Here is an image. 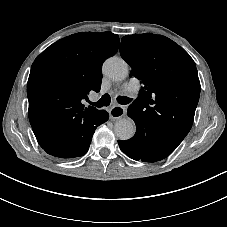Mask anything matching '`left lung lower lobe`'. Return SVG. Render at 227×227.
<instances>
[{
	"label": "left lung lower lobe",
	"mask_w": 227,
	"mask_h": 227,
	"mask_svg": "<svg viewBox=\"0 0 227 227\" xmlns=\"http://www.w3.org/2000/svg\"><path fill=\"white\" fill-rule=\"evenodd\" d=\"M121 150L134 160L156 162L169 156L174 150L164 144L153 141L144 132L137 129L129 140H118Z\"/></svg>",
	"instance_id": "left-lung-lower-lobe-1"
}]
</instances>
